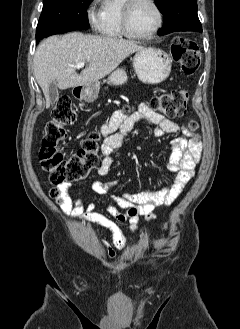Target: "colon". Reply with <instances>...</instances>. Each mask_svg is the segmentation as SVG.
Masks as SVG:
<instances>
[{"label":"colon","instance_id":"1","mask_svg":"<svg viewBox=\"0 0 240 329\" xmlns=\"http://www.w3.org/2000/svg\"><path fill=\"white\" fill-rule=\"evenodd\" d=\"M172 56L181 72L192 76L199 69L201 62V50L199 45L182 36H177L172 42ZM189 94L185 89H175L157 95L150 101V107L160 110L168 117H182L187 110ZM128 111V110H127ZM75 121V112L72 109L71 100L68 96H61L52 112V119L45 126L42 146L39 152L41 166L48 174L53 184H70L86 179L92 169L99 164V134L93 132L85 138L76 154L66 157L59 149V144L66 136V127ZM189 128L195 131L197 125L191 121ZM193 141L200 143V136L195 134ZM52 197L63 203L62 193L58 190L52 192ZM164 239L155 242L162 246Z\"/></svg>","mask_w":240,"mask_h":329}]
</instances>
